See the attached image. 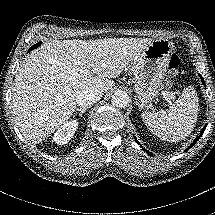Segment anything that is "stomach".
Returning a JSON list of instances; mask_svg holds the SVG:
<instances>
[{
	"instance_id": "1",
	"label": "stomach",
	"mask_w": 215,
	"mask_h": 215,
	"mask_svg": "<svg viewBox=\"0 0 215 215\" xmlns=\"http://www.w3.org/2000/svg\"><path fill=\"white\" fill-rule=\"evenodd\" d=\"M173 51L169 40L156 39L132 63L134 91L142 106H148L159 95Z\"/></svg>"
}]
</instances>
